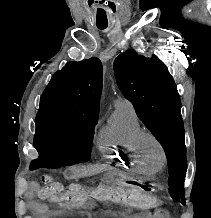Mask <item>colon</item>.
I'll use <instances>...</instances> for the list:
<instances>
[{"instance_id": "1", "label": "colon", "mask_w": 211, "mask_h": 218, "mask_svg": "<svg viewBox=\"0 0 211 218\" xmlns=\"http://www.w3.org/2000/svg\"><path fill=\"white\" fill-rule=\"evenodd\" d=\"M43 183L41 196L55 203L79 204L92 199L138 209H152L159 206L158 198L142 186L107 184L94 187L81 184L64 186L50 176H44Z\"/></svg>"}]
</instances>
